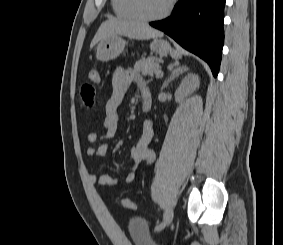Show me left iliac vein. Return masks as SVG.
I'll list each match as a JSON object with an SVG mask.
<instances>
[{"label": "left iliac vein", "instance_id": "4c4485c4", "mask_svg": "<svg viewBox=\"0 0 283 245\" xmlns=\"http://www.w3.org/2000/svg\"><path fill=\"white\" fill-rule=\"evenodd\" d=\"M174 212L173 209L171 207H169L165 213V217H164V221H163V226L161 228V230H163L164 228H166L168 226V224L171 222L172 218H173Z\"/></svg>", "mask_w": 283, "mask_h": 245}]
</instances>
